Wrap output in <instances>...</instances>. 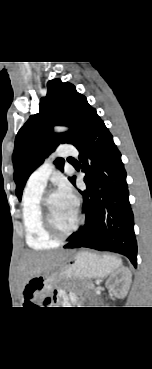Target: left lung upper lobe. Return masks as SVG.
<instances>
[{"label": "left lung upper lobe", "mask_w": 152, "mask_h": 369, "mask_svg": "<svg viewBox=\"0 0 152 369\" xmlns=\"http://www.w3.org/2000/svg\"><path fill=\"white\" fill-rule=\"evenodd\" d=\"M46 97L41 98L39 113L30 116L19 130L13 152L16 195L21 200L23 188L30 174L60 143L75 145L90 116L96 111L73 84L60 79L50 80ZM55 125H65L69 132L52 134ZM54 164L62 169L61 158ZM75 177L69 178L72 182Z\"/></svg>", "instance_id": "5c2ea615"}]
</instances>
